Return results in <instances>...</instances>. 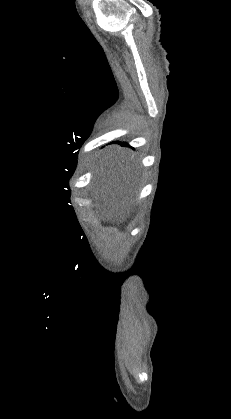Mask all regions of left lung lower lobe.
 Instances as JSON below:
<instances>
[{
	"label": "left lung lower lobe",
	"mask_w": 231,
	"mask_h": 419,
	"mask_svg": "<svg viewBox=\"0 0 231 419\" xmlns=\"http://www.w3.org/2000/svg\"><path fill=\"white\" fill-rule=\"evenodd\" d=\"M113 143H119V144H121V145H128V144H126V143H121V142H113Z\"/></svg>",
	"instance_id": "1"
}]
</instances>
